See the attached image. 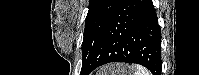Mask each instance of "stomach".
I'll return each instance as SVG.
<instances>
[{"mask_svg": "<svg viewBox=\"0 0 199 75\" xmlns=\"http://www.w3.org/2000/svg\"><path fill=\"white\" fill-rule=\"evenodd\" d=\"M115 69V71L112 73L111 69ZM126 66L120 65V64H116V65H112L107 67V70L105 71V75H126Z\"/></svg>", "mask_w": 199, "mask_h": 75, "instance_id": "obj_1", "label": "stomach"}]
</instances>
